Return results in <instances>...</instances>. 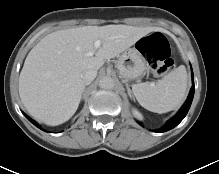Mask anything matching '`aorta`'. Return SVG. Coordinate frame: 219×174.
I'll return each instance as SVG.
<instances>
[{
    "mask_svg": "<svg viewBox=\"0 0 219 174\" xmlns=\"http://www.w3.org/2000/svg\"><path fill=\"white\" fill-rule=\"evenodd\" d=\"M115 86V82L111 77H103L100 81H99V87L105 90H109L114 88Z\"/></svg>",
    "mask_w": 219,
    "mask_h": 174,
    "instance_id": "762f6f07",
    "label": "aorta"
}]
</instances>
